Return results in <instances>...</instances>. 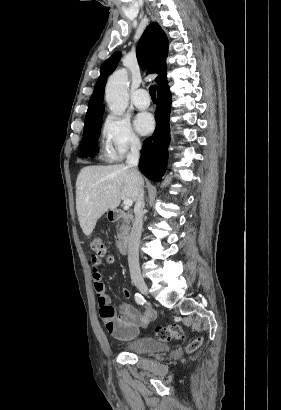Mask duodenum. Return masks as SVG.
Returning <instances> with one entry per match:
<instances>
[{
	"instance_id": "duodenum-1",
	"label": "duodenum",
	"mask_w": 281,
	"mask_h": 410,
	"mask_svg": "<svg viewBox=\"0 0 281 410\" xmlns=\"http://www.w3.org/2000/svg\"><path fill=\"white\" fill-rule=\"evenodd\" d=\"M127 217V215L125 213H123L120 210H112L110 213V219L112 221H117L121 218H125ZM128 243H129V237L128 235H123L120 240H119V250L121 252V254H126L128 251Z\"/></svg>"
}]
</instances>
